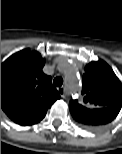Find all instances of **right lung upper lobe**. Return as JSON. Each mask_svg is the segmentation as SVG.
<instances>
[{
    "label": "right lung upper lobe",
    "instance_id": "1",
    "mask_svg": "<svg viewBox=\"0 0 122 154\" xmlns=\"http://www.w3.org/2000/svg\"><path fill=\"white\" fill-rule=\"evenodd\" d=\"M45 60L37 51L21 50L1 64V108L23 126L41 121L60 95L43 73Z\"/></svg>",
    "mask_w": 122,
    "mask_h": 154
}]
</instances>
